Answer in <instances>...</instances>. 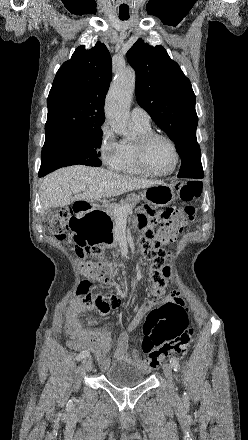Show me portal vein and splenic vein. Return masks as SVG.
Returning <instances> with one entry per match:
<instances>
[{"mask_svg": "<svg viewBox=\"0 0 248 440\" xmlns=\"http://www.w3.org/2000/svg\"><path fill=\"white\" fill-rule=\"evenodd\" d=\"M81 189L75 190L74 192H78ZM129 207H126L124 209H115L114 213L118 217L119 220H125L127 217Z\"/></svg>", "mask_w": 248, "mask_h": 440, "instance_id": "1", "label": "portal vein and splenic vein"}]
</instances>
